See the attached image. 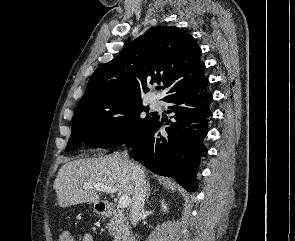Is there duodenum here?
I'll return each mask as SVG.
<instances>
[{
	"mask_svg": "<svg viewBox=\"0 0 295 241\" xmlns=\"http://www.w3.org/2000/svg\"><path fill=\"white\" fill-rule=\"evenodd\" d=\"M113 210V206L110 203H100V211L105 215L111 214ZM123 241H136L134 237L127 236L123 239Z\"/></svg>",
	"mask_w": 295,
	"mask_h": 241,
	"instance_id": "410a0bca",
	"label": "duodenum"
}]
</instances>
